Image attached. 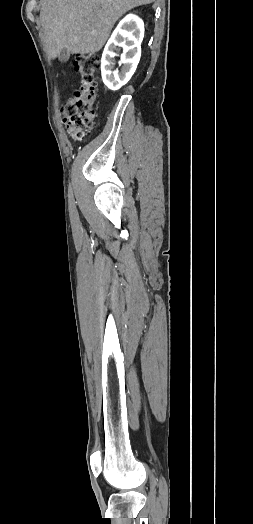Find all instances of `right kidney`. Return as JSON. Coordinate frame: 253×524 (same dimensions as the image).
Listing matches in <instances>:
<instances>
[{"label": "right kidney", "mask_w": 253, "mask_h": 524, "mask_svg": "<svg viewBox=\"0 0 253 524\" xmlns=\"http://www.w3.org/2000/svg\"><path fill=\"white\" fill-rule=\"evenodd\" d=\"M144 37V23L136 15L123 18L108 40L101 59V74L104 84L110 90H118L134 74L141 57V42ZM123 49L120 71H114L115 51Z\"/></svg>", "instance_id": "obj_1"}]
</instances>
